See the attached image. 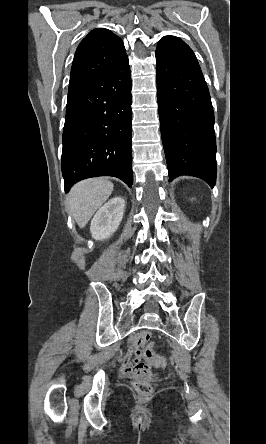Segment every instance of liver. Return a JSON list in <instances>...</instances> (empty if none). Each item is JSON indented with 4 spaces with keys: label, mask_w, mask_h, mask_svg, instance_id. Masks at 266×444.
<instances>
[{
    "label": "liver",
    "mask_w": 266,
    "mask_h": 444,
    "mask_svg": "<svg viewBox=\"0 0 266 444\" xmlns=\"http://www.w3.org/2000/svg\"><path fill=\"white\" fill-rule=\"evenodd\" d=\"M113 192V183L105 178H91L75 184L68 194V209L80 228Z\"/></svg>",
    "instance_id": "obj_1"
}]
</instances>
